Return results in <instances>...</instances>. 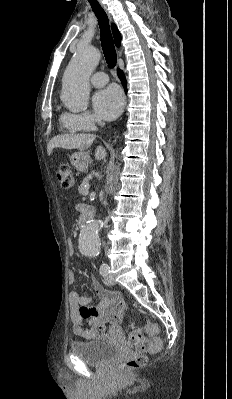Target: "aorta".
<instances>
[{
  "mask_svg": "<svg viewBox=\"0 0 232 399\" xmlns=\"http://www.w3.org/2000/svg\"><path fill=\"white\" fill-rule=\"evenodd\" d=\"M100 52L94 47L81 46L69 62L63 77L61 100L66 107L77 112L85 110L89 102V79L99 63ZM112 178H108V183ZM101 220H91L81 229L79 250L86 256H97L100 253L99 229Z\"/></svg>",
  "mask_w": 232,
  "mask_h": 399,
  "instance_id": "1",
  "label": "aorta"
}]
</instances>
